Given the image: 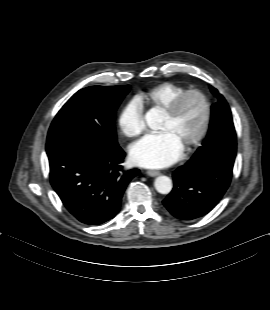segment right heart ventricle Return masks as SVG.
Instances as JSON below:
<instances>
[{
  "label": "right heart ventricle",
  "instance_id": "obj_1",
  "mask_svg": "<svg viewBox=\"0 0 270 310\" xmlns=\"http://www.w3.org/2000/svg\"><path fill=\"white\" fill-rule=\"evenodd\" d=\"M186 90L182 85L163 82L141 92L138 95L140 103L150 109L165 110L170 102L181 92Z\"/></svg>",
  "mask_w": 270,
  "mask_h": 310
}]
</instances>
